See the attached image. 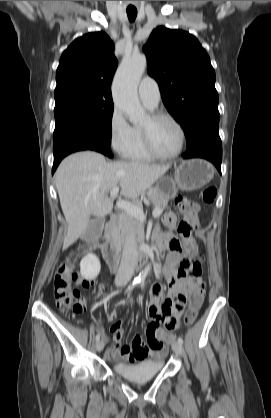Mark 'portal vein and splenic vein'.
<instances>
[{"mask_svg":"<svg viewBox=\"0 0 271 418\" xmlns=\"http://www.w3.org/2000/svg\"><path fill=\"white\" fill-rule=\"evenodd\" d=\"M119 192V187H114L111 191H110V197L114 198L117 196ZM117 207L119 209H122L124 211H126L128 214H130L131 216L139 219L140 221H145L146 220V216L144 214L143 208L137 204H133L127 201H123V200H119L116 203ZM161 214V210L159 208H155L153 210V217H159Z\"/></svg>","mask_w":271,"mask_h":418,"instance_id":"obj_1","label":"portal vein and splenic vein"}]
</instances>
